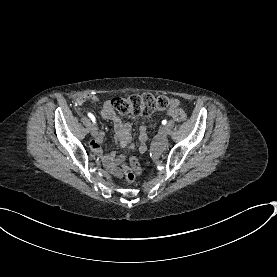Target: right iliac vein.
Listing matches in <instances>:
<instances>
[{"mask_svg":"<svg viewBox=\"0 0 277 277\" xmlns=\"http://www.w3.org/2000/svg\"><path fill=\"white\" fill-rule=\"evenodd\" d=\"M90 131H91V135L93 137H96L98 135V128L95 125V123H92L91 127H90Z\"/></svg>","mask_w":277,"mask_h":277,"instance_id":"obj_1","label":"right iliac vein"}]
</instances>
